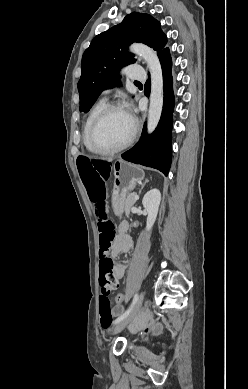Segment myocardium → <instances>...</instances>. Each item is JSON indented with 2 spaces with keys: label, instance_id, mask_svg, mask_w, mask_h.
Masks as SVG:
<instances>
[{
  "label": "myocardium",
  "instance_id": "myocardium-1",
  "mask_svg": "<svg viewBox=\"0 0 248 389\" xmlns=\"http://www.w3.org/2000/svg\"><path fill=\"white\" fill-rule=\"evenodd\" d=\"M114 110H123L130 116V118L132 119V122H133L132 134L124 143H122L119 146H116L113 148L99 147L95 142L96 130L99 127V125L101 124V122L104 120V118L110 112H112ZM138 132H139V125H138L137 120L126 110V108L121 103H117V102L108 103L100 110V112L96 115V117L94 118V120L91 124L90 130H89V143H90L91 148L94 152L102 154V155H111V154L121 152V151L125 150L126 148H128L137 138Z\"/></svg>",
  "mask_w": 248,
  "mask_h": 389
}]
</instances>
